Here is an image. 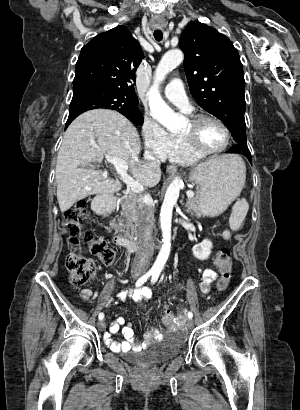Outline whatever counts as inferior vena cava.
Here are the masks:
<instances>
[{
  "instance_id": "inferior-vena-cava-1",
  "label": "inferior vena cava",
  "mask_w": 300,
  "mask_h": 410,
  "mask_svg": "<svg viewBox=\"0 0 300 410\" xmlns=\"http://www.w3.org/2000/svg\"><path fill=\"white\" fill-rule=\"evenodd\" d=\"M147 159L151 166L156 169H160L159 160L151 156H148ZM150 200L151 197L149 195H145L139 204L140 211L138 215V237L143 249L137 250V254L135 255L132 265L133 270L146 271L152 257V253L155 250L154 246L156 240L151 237L154 225L153 211L147 204Z\"/></svg>"
}]
</instances>
